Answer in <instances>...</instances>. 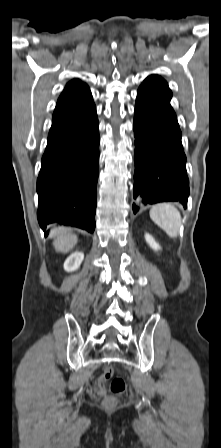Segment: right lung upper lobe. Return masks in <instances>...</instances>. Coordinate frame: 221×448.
<instances>
[{
    "mask_svg": "<svg viewBox=\"0 0 221 448\" xmlns=\"http://www.w3.org/2000/svg\"><path fill=\"white\" fill-rule=\"evenodd\" d=\"M87 84L78 79H74L66 84V87L60 95L55 111L60 110L90 94Z\"/></svg>",
    "mask_w": 221,
    "mask_h": 448,
    "instance_id": "1",
    "label": "right lung upper lobe"
}]
</instances>
